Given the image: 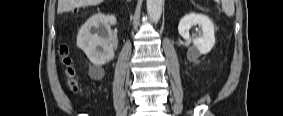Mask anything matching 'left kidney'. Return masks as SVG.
<instances>
[{
  "label": "left kidney",
  "instance_id": "obj_1",
  "mask_svg": "<svg viewBox=\"0 0 283 116\" xmlns=\"http://www.w3.org/2000/svg\"><path fill=\"white\" fill-rule=\"evenodd\" d=\"M194 25H199L202 29V34L197 37H191L189 33ZM178 32L187 43L191 44L187 52L188 59L194 60L202 54L209 53L215 44L214 25L203 14L192 12L185 15L179 22Z\"/></svg>",
  "mask_w": 283,
  "mask_h": 116
}]
</instances>
